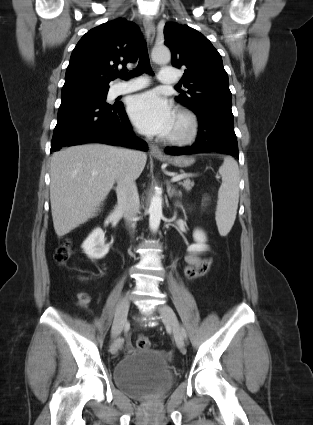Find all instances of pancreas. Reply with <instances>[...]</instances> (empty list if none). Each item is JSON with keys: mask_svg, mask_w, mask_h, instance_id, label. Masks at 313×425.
<instances>
[{"mask_svg": "<svg viewBox=\"0 0 313 425\" xmlns=\"http://www.w3.org/2000/svg\"><path fill=\"white\" fill-rule=\"evenodd\" d=\"M179 185H182L187 191H190L194 186V182L189 179H186L183 182H179Z\"/></svg>", "mask_w": 313, "mask_h": 425, "instance_id": "1", "label": "pancreas"}]
</instances>
